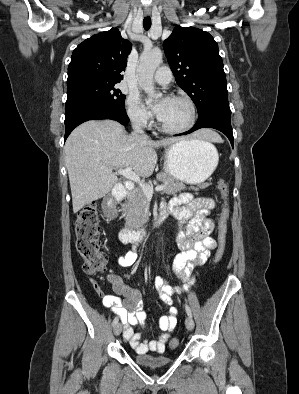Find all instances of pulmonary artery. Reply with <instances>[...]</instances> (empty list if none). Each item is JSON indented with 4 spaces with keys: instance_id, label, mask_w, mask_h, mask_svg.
Wrapping results in <instances>:
<instances>
[{
    "instance_id": "1",
    "label": "pulmonary artery",
    "mask_w": 299,
    "mask_h": 394,
    "mask_svg": "<svg viewBox=\"0 0 299 394\" xmlns=\"http://www.w3.org/2000/svg\"><path fill=\"white\" fill-rule=\"evenodd\" d=\"M154 80L160 85H169L172 80L171 70L168 67H160L154 75Z\"/></svg>"
}]
</instances>
